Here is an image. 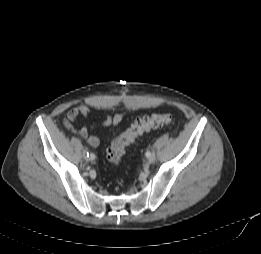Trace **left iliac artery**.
Segmentation results:
<instances>
[{
    "label": "left iliac artery",
    "instance_id": "1",
    "mask_svg": "<svg viewBox=\"0 0 261 254\" xmlns=\"http://www.w3.org/2000/svg\"><path fill=\"white\" fill-rule=\"evenodd\" d=\"M145 155H146L147 158H149V157L152 155V153H151L150 151H147V152L145 153Z\"/></svg>",
    "mask_w": 261,
    "mask_h": 254
}]
</instances>
